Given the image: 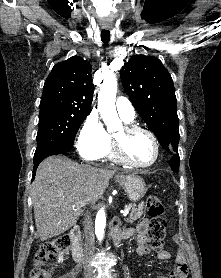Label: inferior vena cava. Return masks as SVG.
Returning a JSON list of instances; mask_svg holds the SVG:
<instances>
[{"instance_id": "obj_1", "label": "inferior vena cava", "mask_w": 221, "mask_h": 278, "mask_svg": "<svg viewBox=\"0 0 221 278\" xmlns=\"http://www.w3.org/2000/svg\"><path fill=\"white\" fill-rule=\"evenodd\" d=\"M84 234H85V245H84V256L86 263L84 266L85 271H91L92 267L89 265V260L94 254V228L92 218L89 213L85 215L84 219Z\"/></svg>"}]
</instances>
